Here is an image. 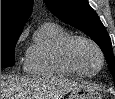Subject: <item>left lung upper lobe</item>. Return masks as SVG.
<instances>
[{"label":"left lung upper lobe","mask_w":115,"mask_h":99,"mask_svg":"<svg viewBox=\"0 0 115 99\" xmlns=\"http://www.w3.org/2000/svg\"><path fill=\"white\" fill-rule=\"evenodd\" d=\"M60 20L90 36L103 51L115 82V59L111 39L96 12L87 0H44Z\"/></svg>","instance_id":"left-lung-upper-lobe-1"}]
</instances>
